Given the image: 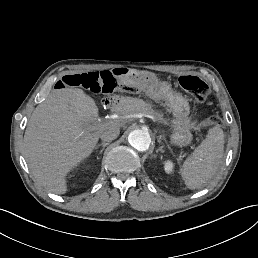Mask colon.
<instances>
[{"mask_svg": "<svg viewBox=\"0 0 258 258\" xmlns=\"http://www.w3.org/2000/svg\"><path fill=\"white\" fill-rule=\"evenodd\" d=\"M179 84L197 102L205 101L209 95L208 85L197 76H181ZM58 87H78L98 94L132 93L135 91L131 83L119 81L111 71L67 75L61 79ZM208 121L212 124L219 122L217 118H209Z\"/></svg>", "mask_w": 258, "mask_h": 258, "instance_id": "1", "label": "colon"}]
</instances>
